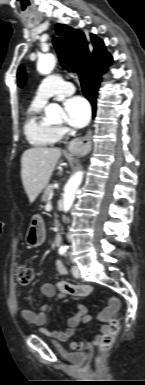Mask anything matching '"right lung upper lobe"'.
<instances>
[{
  "label": "right lung upper lobe",
  "mask_w": 145,
  "mask_h": 385,
  "mask_svg": "<svg viewBox=\"0 0 145 385\" xmlns=\"http://www.w3.org/2000/svg\"><path fill=\"white\" fill-rule=\"evenodd\" d=\"M56 31L62 38L69 57L79 75L91 67L104 66L112 61V57L105 51L103 42L93 34H91V37L94 44V51L93 54H91L88 48V42L81 31L61 24H56Z\"/></svg>",
  "instance_id": "obj_1"
}]
</instances>
